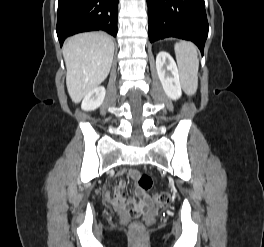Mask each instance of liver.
I'll use <instances>...</instances> for the list:
<instances>
[{"mask_svg":"<svg viewBox=\"0 0 264 247\" xmlns=\"http://www.w3.org/2000/svg\"><path fill=\"white\" fill-rule=\"evenodd\" d=\"M113 55L114 43L103 33H81L65 41L66 85L74 103L107 78Z\"/></svg>","mask_w":264,"mask_h":247,"instance_id":"obj_1","label":"liver"}]
</instances>
